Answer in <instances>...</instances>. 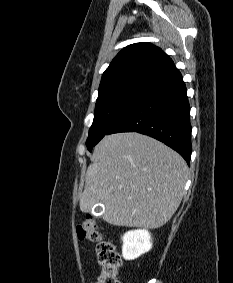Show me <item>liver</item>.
I'll return each instance as SVG.
<instances>
[{"mask_svg": "<svg viewBox=\"0 0 233 283\" xmlns=\"http://www.w3.org/2000/svg\"><path fill=\"white\" fill-rule=\"evenodd\" d=\"M80 210L104 205L102 219L116 226L160 228L178 209L188 176L174 150L137 132L105 136L95 147Z\"/></svg>", "mask_w": 233, "mask_h": 283, "instance_id": "1", "label": "liver"}]
</instances>
